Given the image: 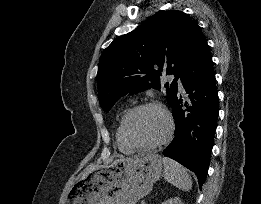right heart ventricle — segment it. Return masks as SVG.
I'll list each match as a JSON object with an SVG mask.
<instances>
[{"instance_id":"1","label":"right heart ventricle","mask_w":261,"mask_h":204,"mask_svg":"<svg viewBox=\"0 0 261 204\" xmlns=\"http://www.w3.org/2000/svg\"><path fill=\"white\" fill-rule=\"evenodd\" d=\"M123 116H124V113L120 116V118L118 119L117 125H116L115 141H116L117 148L120 152H122L124 154H130V153H133L134 150L125 144V142L123 141V139L121 137V133H120V123H121Z\"/></svg>"}]
</instances>
